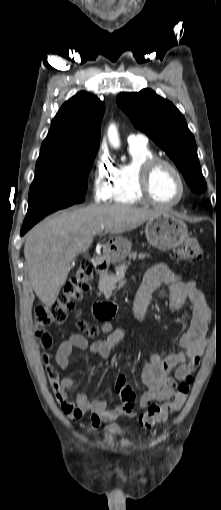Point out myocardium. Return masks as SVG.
Masks as SVG:
<instances>
[{
	"label": "myocardium",
	"instance_id": "f54148a6",
	"mask_svg": "<svg viewBox=\"0 0 221 510\" xmlns=\"http://www.w3.org/2000/svg\"><path fill=\"white\" fill-rule=\"evenodd\" d=\"M162 165L169 167L174 172V174L177 176L179 183H180V188H181L180 195L175 201L170 202V203H163V202L157 201L151 193L150 182H151L152 175H153L154 171L159 166H162ZM137 187H138L139 194H140L141 198L143 199V201H145L155 207H158V208L174 207V206L180 204L185 199L186 194H187V184H186V181H185L180 169L170 160L162 158V157H158V156L150 157V158L144 160L139 165L138 172H137Z\"/></svg>",
	"mask_w": 221,
	"mask_h": 510
}]
</instances>
